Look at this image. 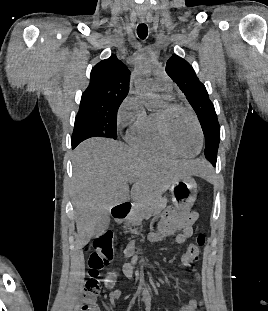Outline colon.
<instances>
[{"mask_svg":"<svg viewBox=\"0 0 268 311\" xmlns=\"http://www.w3.org/2000/svg\"><path fill=\"white\" fill-rule=\"evenodd\" d=\"M205 244V235L199 234L196 240L191 243L185 253L182 255L181 263L187 268H191L198 260L200 250ZM93 250L88 256L89 277L86 280L83 289V304L79 311H99L97 297L101 290V280L99 279V270L110 264L115 255V249L112 243V232L106 231L96 237L92 244ZM114 282V276L104 280V283L111 286Z\"/></svg>","mask_w":268,"mask_h":311,"instance_id":"1","label":"colon"}]
</instances>
